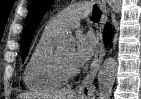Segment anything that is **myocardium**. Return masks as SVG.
<instances>
[{
  "mask_svg": "<svg viewBox=\"0 0 141 99\" xmlns=\"http://www.w3.org/2000/svg\"><path fill=\"white\" fill-rule=\"evenodd\" d=\"M51 64L55 74L64 81L72 78L78 72V69L76 67L66 66L59 58L57 51H53L52 53Z\"/></svg>",
  "mask_w": 141,
  "mask_h": 99,
  "instance_id": "1",
  "label": "myocardium"
}]
</instances>
